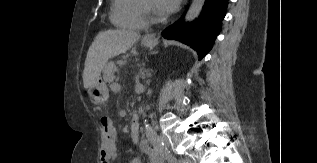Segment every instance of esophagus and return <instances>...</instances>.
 Returning a JSON list of instances; mask_svg holds the SVG:
<instances>
[{
    "label": "esophagus",
    "mask_w": 317,
    "mask_h": 163,
    "mask_svg": "<svg viewBox=\"0 0 317 163\" xmlns=\"http://www.w3.org/2000/svg\"><path fill=\"white\" fill-rule=\"evenodd\" d=\"M157 34L156 33H148L143 37L144 41L153 42L156 40Z\"/></svg>",
    "instance_id": "34e87169"
}]
</instances>
